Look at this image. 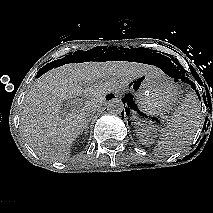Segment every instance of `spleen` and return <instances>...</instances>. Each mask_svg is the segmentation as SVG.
Segmentation results:
<instances>
[{"label": "spleen", "mask_w": 213, "mask_h": 213, "mask_svg": "<svg viewBox=\"0 0 213 213\" xmlns=\"http://www.w3.org/2000/svg\"><path fill=\"white\" fill-rule=\"evenodd\" d=\"M201 107L195 92L186 94L171 121L161 129L157 150L173 152L187 145L201 126Z\"/></svg>", "instance_id": "1"}]
</instances>
